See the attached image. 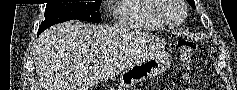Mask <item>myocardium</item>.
<instances>
[{"mask_svg": "<svg viewBox=\"0 0 237 90\" xmlns=\"http://www.w3.org/2000/svg\"><path fill=\"white\" fill-rule=\"evenodd\" d=\"M167 2H177L178 8H165V11H159V14H156L157 21L167 30H178L182 28L186 21L187 13L186 6L183 0H157V3H165ZM175 15H180L179 21L170 25L166 21H169L170 18H174Z\"/></svg>", "mask_w": 237, "mask_h": 90, "instance_id": "f54148a6", "label": "myocardium"}]
</instances>
